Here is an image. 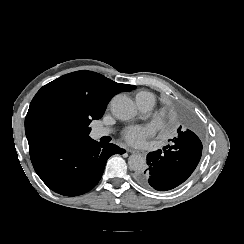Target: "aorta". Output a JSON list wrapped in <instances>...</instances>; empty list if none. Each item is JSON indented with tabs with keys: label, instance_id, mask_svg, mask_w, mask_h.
I'll return each mask as SVG.
<instances>
[{
	"label": "aorta",
	"instance_id": "1",
	"mask_svg": "<svg viewBox=\"0 0 244 244\" xmlns=\"http://www.w3.org/2000/svg\"><path fill=\"white\" fill-rule=\"evenodd\" d=\"M111 111L122 121L131 120L137 114L135 104L126 96H116L111 102ZM128 166L134 171H143L147 167L146 159L140 154H132L128 158Z\"/></svg>",
	"mask_w": 244,
	"mask_h": 244
}]
</instances>
